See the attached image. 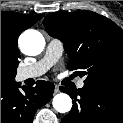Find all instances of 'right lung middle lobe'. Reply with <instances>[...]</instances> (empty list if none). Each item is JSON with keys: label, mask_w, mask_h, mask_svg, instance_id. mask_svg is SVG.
I'll return each instance as SVG.
<instances>
[{"label": "right lung middle lobe", "mask_w": 123, "mask_h": 123, "mask_svg": "<svg viewBox=\"0 0 123 123\" xmlns=\"http://www.w3.org/2000/svg\"><path fill=\"white\" fill-rule=\"evenodd\" d=\"M20 55H13L8 49L1 47V83L14 82L18 59Z\"/></svg>", "instance_id": "1"}]
</instances>
